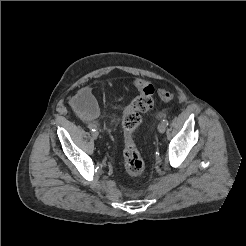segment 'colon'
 Returning <instances> with one entry per match:
<instances>
[{"mask_svg": "<svg viewBox=\"0 0 246 246\" xmlns=\"http://www.w3.org/2000/svg\"><path fill=\"white\" fill-rule=\"evenodd\" d=\"M134 85L139 94L125 109L122 120L124 130L123 156L127 173L132 177H138L143 174L145 163L135 145L133 132L141 124L142 115L152 108L155 88L142 79H136ZM157 93L163 102L170 103L174 99L173 94L165 89L160 88Z\"/></svg>", "mask_w": 246, "mask_h": 246, "instance_id": "obj_1", "label": "colon"}]
</instances>
